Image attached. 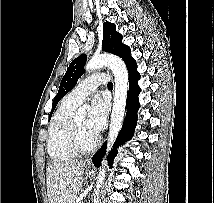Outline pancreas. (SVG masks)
<instances>
[{
  "instance_id": "1",
  "label": "pancreas",
  "mask_w": 214,
  "mask_h": 203,
  "mask_svg": "<svg viewBox=\"0 0 214 203\" xmlns=\"http://www.w3.org/2000/svg\"><path fill=\"white\" fill-rule=\"evenodd\" d=\"M77 199L78 197L77 196H74L73 198H71L68 203H77Z\"/></svg>"
}]
</instances>
